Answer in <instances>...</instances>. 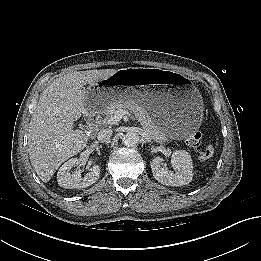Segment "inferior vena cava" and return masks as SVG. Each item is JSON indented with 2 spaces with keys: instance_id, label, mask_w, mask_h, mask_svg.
<instances>
[{
  "instance_id": "602c4592",
  "label": "inferior vena cava",
  "mask_w": 261,
  "mask_h": 261,
  "mask_svg": "<svg viewBox=\"0 0 261 261\" xmlns=\"http://www.w3.org/2000/svg\"><path fill=\"white\" fill-rule=\"evenodd\" d=\"M113 131L111 129H102L98 132L97 139L104 143L108 142L112 136Z\"/></svg>"
}]
</instances>
